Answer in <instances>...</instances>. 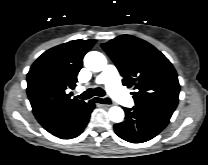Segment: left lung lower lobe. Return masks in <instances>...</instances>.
<instances>
[{"instance_id":"obj_1","label":"left lung lower lobe","mask_w":208,"mask_h":165,"mask_svg":"<svg viewBox=\"0 0 208 165\" xmlns=\"http://www.w3.org/2000/svg\"><path fill=\"white\" fill-rule=\"evenodd\" d=\"M125 120L114 125L115 133L131 143H143L158 135L169 123L172 111L162 109L123 108Z\"/></svg>"}]
</instances>
